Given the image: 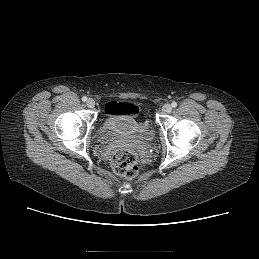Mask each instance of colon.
Masks as SVG:
<instances>
[{
	"label": "colon",
	"instance_id": "1",
	"mask_svg": "<svg viewBox=\"0 0 259 259\" xmlns=\"http://www.w3.org/2000/svg\"><path fill=\"white\" fill-rule=\"evenodd\" d=\"M124 114H134L136 108L132 104H124L121 107ZM112 167L116 174L126 179H134L138 175L137 152L129 148L115 150L111 158Z\"/></svg>",
	"mask_w": 259,
	"mask_h": 259
}]
</instances>
